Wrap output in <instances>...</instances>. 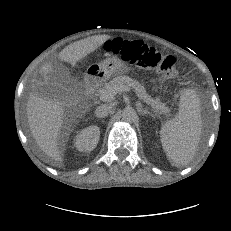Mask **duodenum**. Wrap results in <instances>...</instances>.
<instances>
[{
    "label": "duodenum",
    "mask_w": 231,
    "mask_h": 231,
    "mask_svg": "<svg viewBox=\"0 0 231 231\" xmlns=\"http://www.w3.org/2000/svg\"><path fill=\"white\" fill-rule=\"evenodd\" d=\"M99 82V77L96 75H90L85 81V97H90L95 90Z\"/></svg>",
    "instance_id": "obj_1"
}]
</instances>
